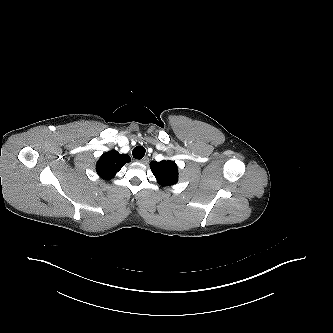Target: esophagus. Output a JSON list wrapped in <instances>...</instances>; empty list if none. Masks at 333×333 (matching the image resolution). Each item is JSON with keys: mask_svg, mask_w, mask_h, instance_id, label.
Instances as JSON below:
<instances>
[{"mask_svg": "<svg viewBox=\"0 0 333 333\" xmlns=\"http://www.w3.org/2000/svg\"><path fill=\"white\" fill-rule=\"evenodd\" d=\"M139 162L146 164L148 162V157H143Z\"/></svg>", "mask_w": 333, "mask_h": 333, "instance_id": "esophagus-1", "label": "esophagus"}]
</instances>
